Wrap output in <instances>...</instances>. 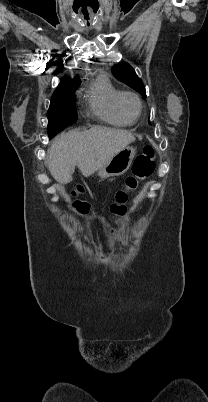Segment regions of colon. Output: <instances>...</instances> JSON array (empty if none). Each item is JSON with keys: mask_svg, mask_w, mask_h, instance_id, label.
Returning a JSON list of instances; mask_svg holds the SVG:
<instances>
[{"mask_svg": "<svg viewBox=\"0 0 208 402\" xmlns=\"http://www.w3.org/2000/svg\"><path fill=\"white\" fill-rule=\"evenodd\" d=\"M155 148L151 143H147L142 152L132 163V173L124 180V185L116 190L114 202L111 205L112 223L107 227L112 230L121 224V220L126 213L125 204L128 201L130 193L137 190L140 181L150 177L154 171ZM85 193V188L78 185L73 195L80 196ZM82 212H88V207H82Z\"/></svg>", "mask_w": 208, "mask_h": 402, "instance_id": "colon-1", "label": "colon"}]
</instances>
